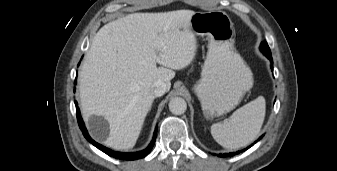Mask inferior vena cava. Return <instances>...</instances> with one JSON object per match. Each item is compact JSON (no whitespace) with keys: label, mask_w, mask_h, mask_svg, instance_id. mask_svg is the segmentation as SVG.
<instances>
[{"label":"inferior vena cava","mask_w":337,"mask_h":171,"mask_svg":"<svg viewBox=\"0 0 337 171\" xmlns=\"http://www.w3.org/2000/svg\"><path fill=\"white\" fill-rule=\"evenodd\" d=\"M151 90L155 97H160L167 91V84L161 80L155 81L151 86Z\"/></svg>","instance_id":"602c4592"}]
</instances>
